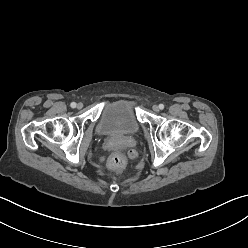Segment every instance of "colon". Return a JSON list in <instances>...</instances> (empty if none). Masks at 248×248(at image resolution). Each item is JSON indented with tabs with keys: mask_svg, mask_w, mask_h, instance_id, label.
<instances>
[{
	"mask_svg": "<svg viewBox=\"0 0 248 248\" xmlns=\"http://www.w3.org/2000/svg\"><path fill=\"white\" fill-rule=\"evenodd\" d=\"M126 163V157L121 151H113L108 158V168L114 173L120 172Z\"/></svg>",
	"mask_w": 248,
	"mask_h": 248,
	"instance_id": "obj_1",
	"label": "colon"
}]
</instances>
